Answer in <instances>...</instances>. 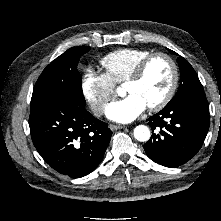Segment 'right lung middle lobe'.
I'll return each mask as SVG.
<instances>
[{"mask_svg": "<svg viewBox=\"0 0 221 221\" xmlns=\"http://www.w3.org/2000/svg\"><path fill=\"white\" fill-rule=\"evenodd\" d=\"M89 50L88 46L70 48L44 69L33 90L31 109L46 106L60 97L85 105L77 65Z\"/></svg>", "mask_w": 221, "mask_h": 221, "instance_id": "dd1d6c3e", "label": "right lung middle lobe"}]
</instances>
